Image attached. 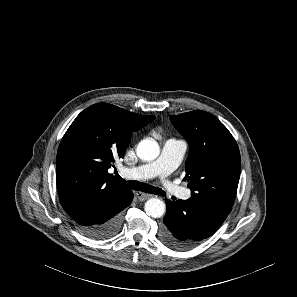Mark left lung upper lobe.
Listing matches in <instances>:
<instances>
[{"mask_svg":"<svg viewBox=\"0 0 297 297\" xmlns=\"http://www.w3.org/2000/svg\"><path fill=\"white\" fill-rule=\"evenodd\" d=\"M174 127L188 140L186 175L190 200L232 207L241 170L240 152L229 130L201 110L171 115Z\"/></svg>","mask_w":297,"mask_h":297,"instance_id":"left-lung-upper-lobe-1","label":"left lung upper lobe"}]
</instances>
